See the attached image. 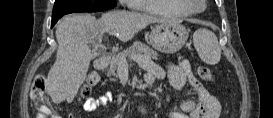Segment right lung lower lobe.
I'll list each match as a JSON object with an SVG mask.
<instances>
[{
    "instance_id": "right-lung-lower-lobe-1",
    "label": "right lung lower lobe",
    "mask_w": 273,
    "mask_h": 118,
    "mask_svg": "<svg viewBox=\"0 0 273 118\" xmlns=\"http://www.w3.org/2000/svg\"><path fill=\"white\" fill-rule=\"evenodd\" d=\"M75 12H85V11L70 9L67 7H60L59 9H53L51 27H53L56 24V22L58 21V19L61 18L63 15L75 13Z\"/></svg>"
}]
</instances>
